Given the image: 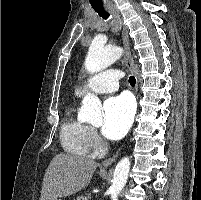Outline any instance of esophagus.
<instances>
[{"mask_svg": "<svg viewBox=\"0 0 201 200\" xmlns=\"http://www.w3.org/2000/svg\"><path fill=\"white\" fill-rule=\"evenodd\" d=\"M111 11L116 15V17H118L121 20V24H122V40H123V45H124V48H125V58H124V60H125V63L127 65V67L131 71V73L137 79V84H138V82H139V73H138L137 67H136V65L134 63V60L132 58L131 51H130L128 28L123 23L122 17L119 15L118 10H111ZM119 153H120V150L116 154H114L112 157L105 159L103 161L102 165L104 167L110 166L117 159Z\"/></svg>", "mask_w": 201, "mask_h": 200, "instance_id": "obj_1", "label": "esophagus"}]
</instances>
